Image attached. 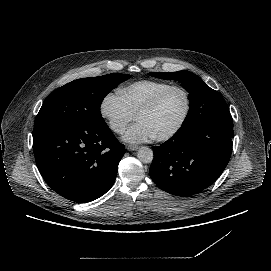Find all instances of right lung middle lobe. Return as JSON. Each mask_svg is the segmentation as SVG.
Listing matches in <instances>:
<instances>
[{
  "instance_id": "1",
  "label": "right lung middle lobe",
  "mask_w": 271,
  "mask_h": 271,
  "mask_svg": "<svg viewBox=\"0 0 271 271\" xmlns=\"http://www.w3.org/2000/svg\"><path fill=\"white\" fill-rule=\"evenodd\" d=\"M130 77L128 74L112 73L65 84L45 100L35 118L34 126L54 120L85 124L103 122L100 105L104 97Z\"/></svg>"
}]
</instances>
